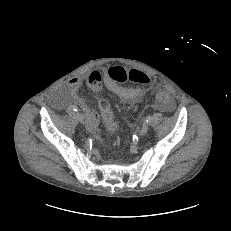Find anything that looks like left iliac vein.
<instances>
[{"instance_id":"1","label":"left iliac vein","mask_w":231,"mask_h":231,"mask_svg":"<svg viewBox=\"0 0 231 231\" xmlns=\"http://www.w3.org/2000/svg\"><path fill=\"white\" fill-rule=\"evenodd\" d=\"M148 130H149V125L148 124H144L142 126V128L140 129V132H139L140 136L146 135L147 132H148Z\"/></svg>"}]
</instances>
